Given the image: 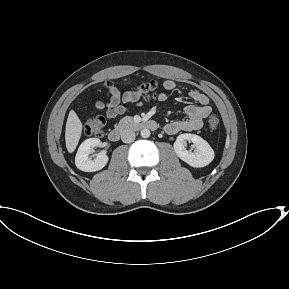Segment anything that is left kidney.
<instances>
[{
	"label": "left kidney",
	"mask_w": 289,
	"mask_h": 289,
	"mask_svg": "<svg viewBox=\"0 0 289 289\" xmlns=\"http://www.w3.org/2000/svg\"><path fill=\"white\" fill-rule=\"evenodd\" d=\"M187 141L193 143V151L187 150ZM173 147L177 156L192 167L200 168L207 166L214 159V151L208 142L195 134H180Z\"/></svg>",
	"instance_id": "left-kidney-1"
}]
</instances>
